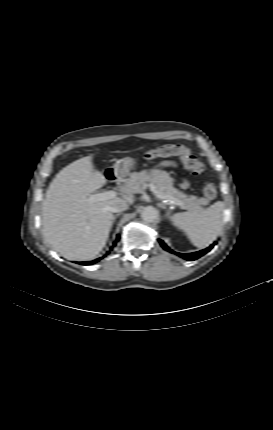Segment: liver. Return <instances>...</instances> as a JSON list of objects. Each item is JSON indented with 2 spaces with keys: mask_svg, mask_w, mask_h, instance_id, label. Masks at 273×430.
Returning <instances> with one entry per match:
<instances>
[{
  "mask_svg": "<svg viewBox=\"0 0 273 430\" xmlns=\"http://www.w3.org/2000/svg\"><path fill=\"white\" fill-rule=\"evenodd\" d=\"M92 155L64 167L53 179L42 203V225L49 244L66 259L90 260L105 246L112 226L109 210L116 201L133 204V191L89 203L106 178L94 169Z\"/></svg>",
  "mask_w": 273,
  "mask_h": 430,
  "instance_id": "liver-1",
  "label": "liver"
}]
</instances>
